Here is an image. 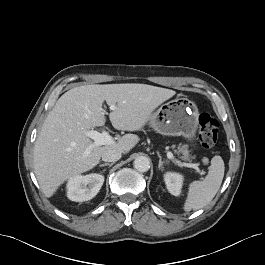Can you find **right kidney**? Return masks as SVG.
Returning a JSON list of instances; mask_svg holds the SVG:
<instances>
[{
  "mask_svg": "<svg viewBox=\"0 0 265 265\" xmlns=\"http://www.w3.org/2000/svg\"><path fill=\"white\" fill-rule=\"evenodd\" d=\"M103 182L104 176L96 173L74 176L67 183V197L75 202L88 201L97 195Z\"/></svg>",
  "mask_w": 265,
  "mask_h": 265,
  "instance_id": "right-kidney-1",
  "label": "right kidney"
}]
</instances>
